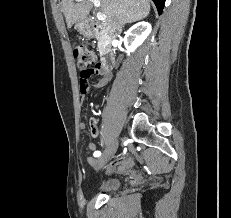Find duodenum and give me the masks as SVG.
<instances>
[{
  "label": "duodenum",
  "instance_id": "obj_1",
  "mask_svg": "<svg viewBox=\"0 0 231 218\" xmlns=\"http://www.w3.org/2000/svg\"><path fill=\"white\" fill-rule=\"evenodd\" d=\"M83 29L85 32L93 35V36H102L105 38L107 44L110 42L112 38V31L109 27L105 26L104 24L93 23L90 21L83 22ZM115 64V57L111 52L109 45L107 46L106 51L103 54L100 67L101 70L108 73L110 72Z\"/></svg>",
  "mask_w": 231,
  "mask_h": 218
}]
</instances>
